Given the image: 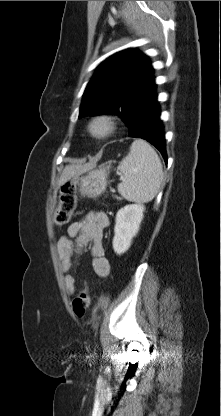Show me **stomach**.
<instances>
[{
    "label": "stomach",
    "mask_w": 221,
    "mask_h": 416,
    "mask_svg": "<svg viewBox=\"0 0 221 416\" xmlns=\"http://www.w3.org/2000/svg\"><path fill=\"white\" fill-rule=\"evenodd\" d=\"M107 168L88 170L82 176H75L73 181L78 182L79 192L82 196L96 198L103 194L107 187Z\"/></svg>",
    "instance_id": "0dacf381"
}]
</instances>
